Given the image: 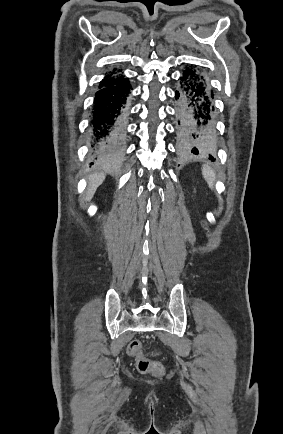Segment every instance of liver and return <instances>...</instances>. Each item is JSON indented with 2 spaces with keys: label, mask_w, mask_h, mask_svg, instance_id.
I'll return each mask as SVG.
<instances>
[{
  "label": "liver",
  "mask_w": 283,
  "mask_h": 434,
  "mask_svg": "<svg viewBox=\"0 0 283 434\" xmlns=\"http://www.w3.org/2000/svg\"><path fill=\"white\" fill-rule=\"evenodd\" d=\"M105 175L102 173L93 174L89 176V186L84 197V202H88L93 197L97 187L103 183Z\"/></svg>",
  "instance_id": "obj_1"
}]
</instances>
